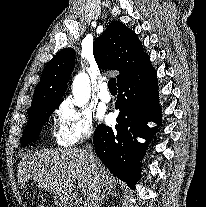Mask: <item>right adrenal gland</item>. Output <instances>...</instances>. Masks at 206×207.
<instances>
[{"mask_svg": "<svg viewBox=\"0 0 206 207\" xmlns=\"http://www.w3.org/2000/svg\"><path fill=\"white\" fill-rule=\"evenodd\" d=\"M110 196L115 197L117 196V192L115 188L105 189L102 198L100 200V207L104 204L105 199H108Z\"/></svg>", "mask_w": 206, "mask_h": 207, "instance_id": "2a0ac1e0", "label": "right adrenal gland"}]
</instances>
